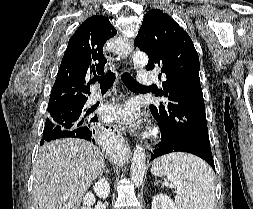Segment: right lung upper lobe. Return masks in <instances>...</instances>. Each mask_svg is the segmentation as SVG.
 <instances>
[{"label":"right lung upper lobe","mask_w":253,"mask_h":209,"mask_svg":"<svg viewBox=\"0 0 253 209\" xmlns=\"http://www.w3.org/2000/svg\"><path fill=\"white\" fill-rule=\"evenodd\" d=\"M116 33L109 19L101 15L92 16L79 26L68 42L52 87L48 110L86 103L90 95V82L87 81L104 73L107 59L103 55V46Z\"/></svg>","instance_id":"right-lung-upper-lobe-1"}]
</instances>
